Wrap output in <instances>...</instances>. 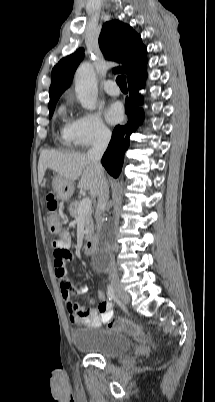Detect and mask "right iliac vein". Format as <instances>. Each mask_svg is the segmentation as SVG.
<instances>
[{
    "instance_id": "obj_1",
    "label": "right iliac vein",
    "mask_w": 215,
    "mask_h": 402,
    "mask_svg": "<svg viewBox=\"0 0 215 402\" xmlns=\"http://www.w3.org/2000/svg\"><path fill=\"white\" fill-rule=\"evenodd\" d=\"M115 292L117 296L125 303L128 304L130 302V297L119 285H114Z\"/></svg>"
}]
</instances>
